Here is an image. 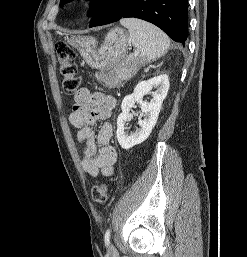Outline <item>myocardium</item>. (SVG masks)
Here are the masks:
<instances>
[{
  "instance_id": "1",
  "label": "myocardium",
  "mask_w": 247,
  "mask_h": 257,
  "mask_svg": "<svg viewBox=\"0 0 247 257\" xmlns=\"http://www.w3.org/2000/svg\"><path fill=\"white\" fill-rule=\"evenodd\" d=\"M92 7V2L89 0H81L80 2H78V9L81 12H87L88 10H90Z\"/></svg>"
}]
</instances>
